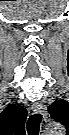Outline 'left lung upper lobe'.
Listing matches in <instances>:
<instances>
[{"instance_id":"obj_1","label":"left lung upper lobe","mask_w":69,"mask_h":135,"mask_svg":"<svg viewBox=\"0 0 69 135\" xmlns=\"http://www.w3.org/2000/svg\"><path fill=\"white\" fill-rule=\"evenodd\" d=\"M48 111L53 119L63 124H66L69 116V103L65 100H56Z\"/></svg>"}]
</instances>
